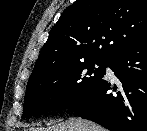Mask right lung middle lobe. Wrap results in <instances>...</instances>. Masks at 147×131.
<instances>
[{"instance_id": "1", "label": "right lung middle lobe", "mask_w": 147, "mask_h": 131, "mask_svg": "<svg viewBox=\"0 0 147 131\" xmlns=\"http://www.w3.org/2000/svg\"><path fill=\"white\" fill-rule=\"evenodd\" d=\"M109 61H78L30 77L23 116L60 111L73 106L102 79Z\"/></svg>"}]
</instances>
